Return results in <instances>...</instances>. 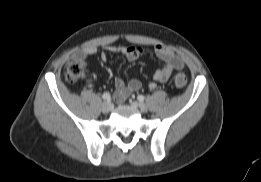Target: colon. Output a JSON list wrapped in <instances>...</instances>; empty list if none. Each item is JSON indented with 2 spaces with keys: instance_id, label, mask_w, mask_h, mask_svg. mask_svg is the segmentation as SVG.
Wrapping results in <instances>:
<instances>
[{
  "instance_id": "colon-1",
  "label": "colon",
  "mask_w": 261,
  "mask_h": 182,
  "mask_svg": "<svg viewBox=\"0 0 261 182\" xmlns=\"http://www.w3.org/2000/svg\"><path fill=\"white\" fill-rule=\"evenodd\" d=\"M83 62L78 59H71L65 66V78L69 83H75L83 77ZM174 83L177 87L182 88L187 83V78L183 73L176 74Z\"/></svg>"
}]
</instances>
